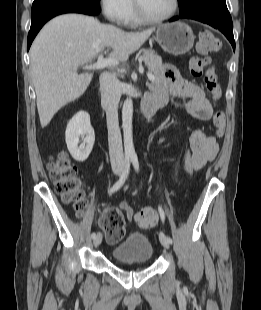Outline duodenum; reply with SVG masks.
<instances>
[{
	"mask_svg": "<svg viewBox=\"0 0 261 310\" xmlns=\"http://www.w3.org/2000/svg\"><path fill=\"white\" fill-rule=\"evenodd\" d=\"M164 105V101L154 95L146 96L141 103V110L146 117H151L158 108Z\"/></svg>",
	"mask_w": 261,
	"mask_h": 310,
	"instance_id": "1",
	"label": "duodenum"
}]
</instances>
